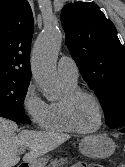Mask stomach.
<instances>
[{
    "instance_id": "stomach-1",
    "label": "stomach",
    "mask_w": 125,
    "mask_h": 167,
    "mask_svg": "<svg viewBox=\"0 0 125 167\" xmlns=\"http://www.w3.org/2000/svg\"><path fill=\"white\" fill-rule=\"evenodd\" d=\"M115 143L109 137L97 134L83 138L79 143V151L82 155L90 158H106L115 151ZM48 156H41L28 162L27 167H45Z\"/></svg>"
}]
</instances>
